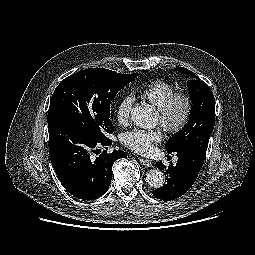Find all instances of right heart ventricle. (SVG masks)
Wrapping results in <instances>:
<instances>
[{"label":"right heart ventricle","mask_w":255,"mask_h":255,"mask_svg":"<svg viewBox=\"0 0 255 255\" xmlns=\"http://www.w3.org/2000/svg\"><path fill=\"white\" fill-rule=\"evenodd\" d=\"M175 86L165 80H155L139 92V97L155 107H160L173 93Z\"/></svg>","instance_id":"right-heart-ventricle-1"}]
</instances>
